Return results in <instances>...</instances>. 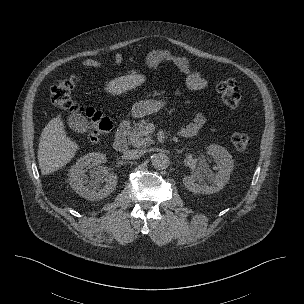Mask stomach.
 <instances>
[{"instance_id":"1","label":"stomach","mask_w":304,"mask_h":304,"mask_svg":"<svg viewBox=\"0 0 304 304\" xmlns=\"http://www.w3.org/2000/svg\"><path fill=\"white\" fill-rule=\"evenodd\" d=\"M165 104L162 100H141L132 106L131 114L134 118H142L158 112Z\"/></svg>"}]
</instances>
